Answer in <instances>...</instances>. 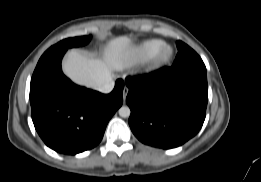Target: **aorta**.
<instances>
[{"mask_svg":"<svg viewBox=\"0 0 261 182\" xmlns=\"http://www.w3.org/2000/svg\"><path fill=\"white\" fill-rule=\"evenodd\" d=\"M119 115L123 118H127L130 116L131 111L130 108L128 106H122L119 110Z\"/></svg>","mask_w":261,"mask_h":182,"instance_id":"762f6f07","label":"aorta"}]
</instances>
